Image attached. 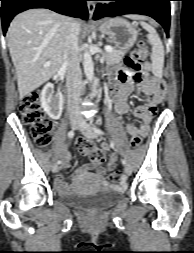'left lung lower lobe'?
Segmentation results:
<instances>
[{"label": "left lung lower lobe", "mask_w": 194, "mask_h": 253, "mask_svg": "<svg viewBox=\"0 0 194 253\" xmlns=\"http://www.w3.org/2000/svg\"><path fill=\"white\" fill-rule=\"evenodd\" d=\"M115 1L110 4H98L94 19L114 17L124 14H142L154 18L165 29L169 36L170 4L171 0H97Z\"/></svg>", "instance_id": "1"}]
</instances>
